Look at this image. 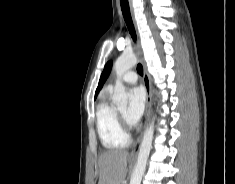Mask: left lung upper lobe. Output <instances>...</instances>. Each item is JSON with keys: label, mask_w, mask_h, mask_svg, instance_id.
<instances>
[{"label": "left lung upper lobe", "mask_w": 235, "mask_h": 184, "mask_svg": "<svg viewBox=\"0 0 235 184\" xmlns=\"http://www.w3.org/2000/svg\"><path fill=\"white\" fill-rule=\"evenodd\" d=\"M111 67H112V62L109 61L105 67H104V70L101 74V77H100V80H99V84H98V87L96 89V92H95V98L97 97V94L98 92L101 90L103 84L105 83L106 79L108 78L109 74H110V71H111Z\"/></svg>", "instance_id": "left-lung-upper-lobe-1"}]
</instances>
